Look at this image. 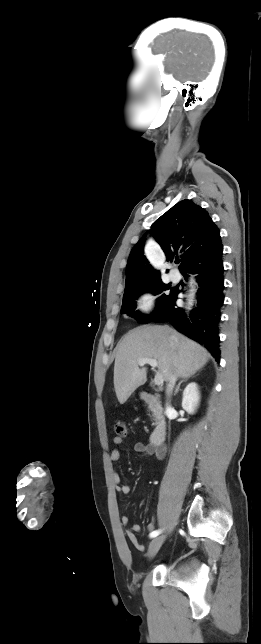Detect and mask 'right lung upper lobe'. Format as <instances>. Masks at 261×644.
Returning <instances> with one entry per match:
<instances>
[{
    "instance_id": "obj_1",
    "label": "right lung upper lobe",
    "mask_w": 261,
    "mask_h": 644,
    "mask_svg": "<svg viewBox=\"0 0 261 644\" xmlns=\"http://www.w3.org/2000/svg\"><path fill=\"white\" fill-rule=\"evenodd\" d=\"M153 235L163 249L167 261L180 258V271L194 265L218 260L223 251L218 227L208 212L193 203L182 200L158 218L151 226ZM143 237L133 247L127 263L125 289L133 285L160 281V272L154 270L144 256Z\"/></svg>"
}]
</instances>
